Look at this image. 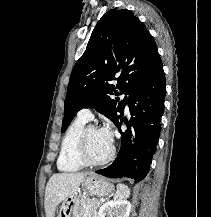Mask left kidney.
Listing matches in <instances>:
<instances>
[{
	"label": "left kidney",
	"instance_id": "5707ae66",
	"mask_svg": "<svg viewBox=\"0 0 211 217\" xmlns=\"http://www.w3.org/2000/svg\"><path fill=\"white\" fill-rule=\"evenodd\" d=\"M131 204L127 200H111L103 204L96 217H129Z\"/></svg>",
	"mask_w": 211,
	"mask_h": 217
}]
</instances>
